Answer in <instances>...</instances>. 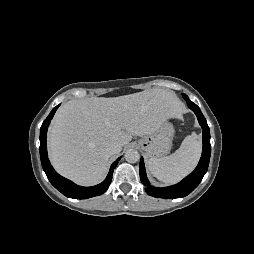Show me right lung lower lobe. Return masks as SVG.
Here are the masks:
<instances>
[{"instance_id": "obj_1", "label": "right lung lower lobe", "mask_w": 254, "mask_h": 254, "mask_svg": "<svg viewBox=\"0 0 254 254\" xmlns=\"http://www.w3.org/2000/svg\"><path fill=\"white\" fill-rule=\"evenodd\" d=\"M60 105L54 107L48 117L44 120L41 128H40V158L43 170L48 178V180L51 182V184L60 191L63 195L74 198V199H86L94 196H98L103 194L109 187L112 175L115 167L118 164V161L120 158H118L110 168V171L106 177V179L92 187H82L74 184L70 180L60 176L51 166L48 156H47V147H46V137H47V129L50 124L51 119L53 118L57 108Z\"/></svg>"}]
</instances>
